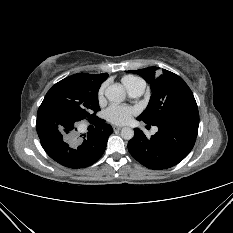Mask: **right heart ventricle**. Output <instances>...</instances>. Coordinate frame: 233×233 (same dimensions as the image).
Here are the masks:
<instances>
[{
    "instance_id": "obj_1",
    "label": "right heart ventricle",
    "mask_w": 233,
    "mask_h": 233,
    "mask_svg": "<svg viewBox=\"0 0 233 233\" xmlns=\"http://www.w3.org/2000/svg\"><path fill=\"white\" fill-rule=\"evenodd\" d=\"M121 82L128 91L137 86L145 87V82L141 78L134 75H126L122 77Z\"/></svg>"
}]
</instances>
